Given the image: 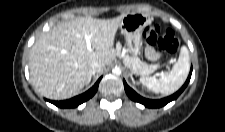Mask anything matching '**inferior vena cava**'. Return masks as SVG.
Segmentation results:
<instances>
[{"instance_id":"inferior-vena-cava-1","label":"inferior vena cava","mask_w":225,"mask_h":132,"mask_svg":"<svg viewBox=\"0 0 225 132\" xmlns=\"http://www.w3.org/2000/svg\"><path fill=\"white\" fill-rule=\"evenodd\" d=\"M105 65L100 61L94 60L89 65V73L90 75H94L96 73H100L103 71Z\"/></svg>"}]
</instances>
